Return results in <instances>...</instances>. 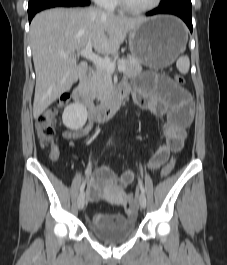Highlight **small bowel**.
<instances>
[{"label":"small bowel","instance_id":"obj_1","mask_svg":"<svg viewBox=\"0 0 227 265\" xmlns=\"http://www.w3.org/2000/svg\"><path fill=\"white\" fill-rule=\"evenodd\" d=\"M120 88L127 94L133 93L136 105L149 111L158 117H165L163 124L164 142L155 151L149 160L148 168L156 170L168 159L172 151L181 149L186 136V128L193 118V102L190 94L181 86L173 82L168 76L159 72H139V78L133 85L123 83ZM93 127L89 121L86 125L75 130L62 132L64 140H75L87 136ZM58 148L52 147L53 158L58 156ZM88 200L96 202L104 189L115 192L124 199V190L133 182L134 172L125 170L120 175L107 166L100 167L95 174L87 173ZM126 217L121 214L102 215L95 214L93 223L99 225H114L123 221Z\"/></svg>","mask_w":227,"mask_h":265}]
</instances>
